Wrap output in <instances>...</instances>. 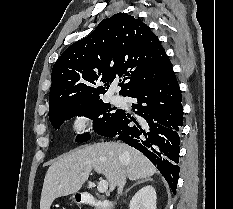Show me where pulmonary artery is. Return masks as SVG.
Wrapping results in <instances>:
<instances>
[{"instance_id": "1", "label": "pulmonary artery", "mask_w": 233, "mask_h": 209, "mask_svg": "<svg viewBox=\"0 0 233 209\" xmlns=\"http://www.w3.org/2000/svg\"><path fill=\"white\" fill-rule=\"evenodd\" d=\"M119 100H120V99H119L118 96H113V101H114V102H119Z\"/></svg>"}]
</instances>
